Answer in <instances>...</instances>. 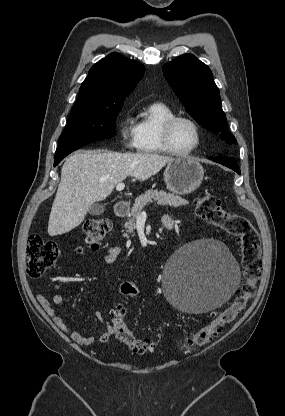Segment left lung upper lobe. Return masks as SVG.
<instances>
[{
    "label": "left lung upper lobe",
    "mask_w": 285,
    "mask_h": 416,
    "mask_svg": "<svg viewBox=\"0 0 285 416\" xmlns=\"http://www.w3.org/2000/svg\"><path fill=\"white\" fill-rule=\"evenodd\" d=\"M163 73L188 113L204 128L219 134L228 144L236 139L227 130L219 89L207 65L194 55L185 54L167 63Z\"/></svg>",
    "instance_id": "5c2ea615"
}]
</instances>
